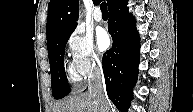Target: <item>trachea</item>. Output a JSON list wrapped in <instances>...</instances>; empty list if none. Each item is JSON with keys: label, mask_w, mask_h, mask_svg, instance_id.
Wrapping results in <instances>:
<instances>
[{"label": "trachea", "mask_w": 193, "mask_h": 112, "mask_svg": "<svg viewBox=\"0 0 193 112\" xmlns=\"http://www.w3.org/2000/svg\"><path fill=\"white\" fill-rule=\"evenodd\" d=\"M100 9L102 11V14H107V4H106V2L101 3Z\"/></svg>", "instance_id": "obj_1"}]
</instances>
